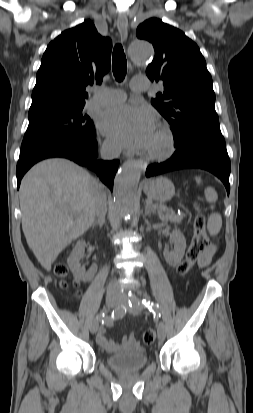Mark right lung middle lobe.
Listing matches in <instances>:
<instances>
[{
  "label": "right lung middle lobe",
  "mask_w": 253,
  "mask_h": 413,
  "mask_svg": "<svg viewBox=\"0 0 253 413\" xmlns=\"http://www.w3.org/2000/svg\"><path fill=\"white\" fill-rule=\"evenodd\" d=\"M83 107L84 104L29 112V125L21 149L55 140L92 136L95 127L91 119L81 113Z\"/></svg>",
  "instance_id": "obj_1"
}]
</instances>
